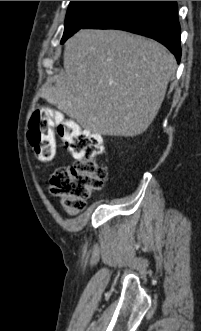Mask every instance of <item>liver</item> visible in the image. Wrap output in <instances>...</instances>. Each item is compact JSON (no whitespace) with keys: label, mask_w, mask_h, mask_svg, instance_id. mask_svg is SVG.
Returning <instances> with one entry per match:
<instances>
[{"label":"liver","mask_w":201,"mask_h":331,"mask_svg":"<svg viewBox=\"0 0 201 331\" xmlns=\"http://www.w3.org/2000/svg\"><path fill=\"white\" fill-rule=\"evenodd\" d=\"M44 98L100 135L143 133L164 100L176 60L162 44L120 30H80Z\"/></svg>","instance_id":"1"}]
</instances>
